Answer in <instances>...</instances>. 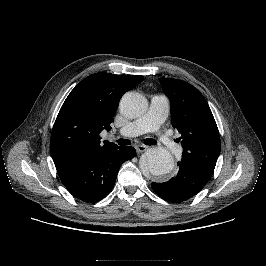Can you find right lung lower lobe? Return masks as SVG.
I'll return each mask as SVG.
<instances>
[{"instance_id": "right-lung-lower-lobe-1", "label": "right lung lower lobe", "mask_w": 266, "mask_h": 266, "mask_svg": "<svg viewBox=\"0 0 266 266\" xmlns=\"http://www.w3.org/2000/svg\"><path fill=\"white\" fill-rule=\"evenodd\" d=\"M135 156L133 147L114 146L54 163L62 183L74 197L95 203L110 193L120 166Z\"/></svg>"}]
</instances>
